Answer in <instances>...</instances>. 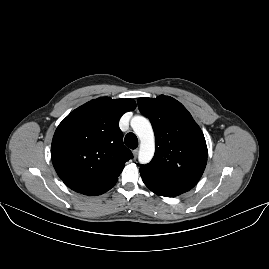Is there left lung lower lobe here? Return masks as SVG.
Here are the masks:
<instances>
[{
  "mask_svg": "<svg viewBox=\"0 0 269 269\" xmlns=\"http://www.w3.org/2000/svg\"><path fill=\"white\" fill-rule=\"evenodd\" d=\"M141 177L145 185L154 193L160 196L165 197H175L184 192L189 191L195 185L186 183V182H179V181H171L160 179L151 175H148L144 172H141Z\"/></svg>",
  "mask_w": 269,
  "mask_h": 269,
  "instance_id": "0a47b994",
  "label": "left lung lower lobe"
}]
</instances>
